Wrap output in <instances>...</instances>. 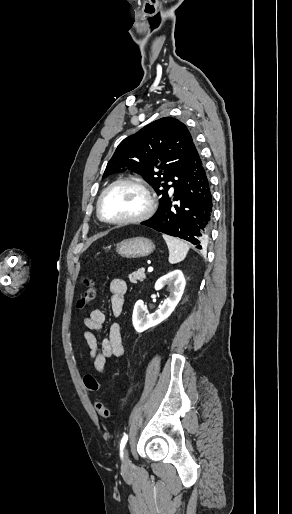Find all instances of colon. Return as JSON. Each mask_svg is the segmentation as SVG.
I'll list each match as a JSON object with an SVG mask.
<instances>
[{
    "mask_svg": "<svg viewBox=\"0 0 292 514\" xmlns=\"http://www.w3.org/2000/svg\"><path fill=\"white\" fill-rule=\"evenodd\" d=\"M95 294L96 288L93 284V281L87 278L85 280V289L78 301L79 307L83 308L85 306H89L93 302ZM84 383L85 386L89 388V392L91 394H94L96 390L100 388V385L97 383V381L91 373H88L84 376ZM96 409L100 414H102L105 417H108L110 415L109 409L101 402L96 403Z\"/></svg>",
    "mask_w": 292,
    "mask_h": 514,
    "instance_id": "5ec220e1",
    "label": "colon"
}]
</instances>
